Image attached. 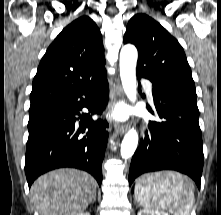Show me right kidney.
Wrapping results in <instances>:
<instances>
[{
    "mask_svg": "<svg viewBox=\"0 0 221 215\" xmlns=\"http://www.w3.org/2000/svg\"><path fill=\"white\" fill-rule=\"evenodd\" d=\"M78 215H90V213H88V212H82V213H79Z\"/></svg>",
    "mask_w": 221,
    "mask_h": 215,
    "instance_id": "1",
    "label": "right kidney"
}]
</instances>
